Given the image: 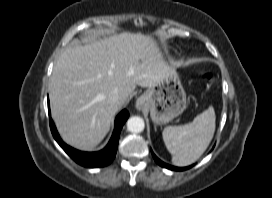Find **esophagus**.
<instances>
[{"label": "esophagus", "instance_id": "34e87169", "mask_svg": "<svg viewBox=\"0 0 272 198\" xmlns=\"http://www.w3.org/2000/svg\"><path fill=\"white\" fill-rule=\"evenodd\" d=\"M144 106H145V97L144 96L138 97L136 100V108L138 110H142Z\"/></svg>", "mask_w": 272, "mask_h": 198}]
</instances>
